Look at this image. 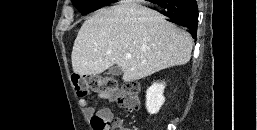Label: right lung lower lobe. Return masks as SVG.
I'll use <instances>...</instances> for the list:
<instances>
[{"mask_svg":"<svg viewBox=\"0 0 257 130\" xmlns=\"http://www.w3.org/2000/svg\"><path fill=\"white\" fill-rule=\"evenodd\" d=\"M163 8L162 14L168 21L188 28L196 39L198 23V7L196 0H170L157 3Z\"/></svg>","mask_w":257,"mask_h":130,"instance_id":"98d812e1","label":"right lung lower lobe"}]
</instances>
